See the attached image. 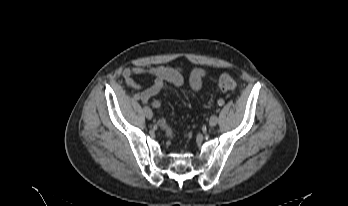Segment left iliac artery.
<instances>
[{"mask_svg":"<svg viewBox=\"0 0 348 206\" xmlns=\"http://www.w3.org/2000/svg\"><path fill=\"white\" fill-rule=\"evenodd\" d=\"M224 104V101L223 100H218V105L219 106H222Z\"/></svg>","mask_w":348,"mask_h":206,"instance_id":"44dca946","label":"left iliac artery"}]
</instances>
